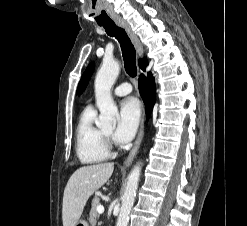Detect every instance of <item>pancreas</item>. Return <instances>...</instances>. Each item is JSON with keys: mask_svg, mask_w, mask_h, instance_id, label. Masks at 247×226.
Returning <instances> with one entry per match:
<instances>
[{"mask_svg": "<svg viewBox=\"0 0 247 226\" xmlns=\"http://www.w3.org/2000/svg\"><path fill=\"white\" fill-rule=\"evenodd\" d=\"M100 205V199L99 197H94L92 200V208L89 215V222L92 226H94L97 223V219L99 218V214L97 212V207Z\"/></svg>", "mask_w": 247, "mask_h": 226, "instance_id": "1", "label": "pancreas"}]
</instances>
